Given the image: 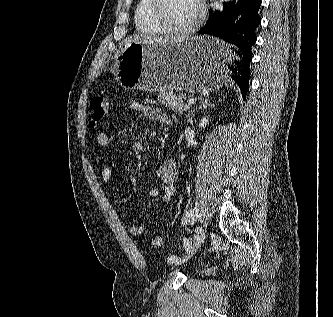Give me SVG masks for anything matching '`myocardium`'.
<instances>
[{"instance_id":"1","label":"myocardium","mask_w":333,"mask_h":317,"mask_svg":"<svg viewBox=\"0 0 333 317\" xmlns=\"http://www.w3.org/2000/svg\"><path fill=\"white\" fill-rule=\"evenodd\" d=\"M198 5V13L195 20L187 27L178 28L168 23L162 15L163 0H150L149 13L156 25L165 33L185 36L193 33L200 25L203 16V4L202 0H196Z\"/></svg>"}]
</instances>
